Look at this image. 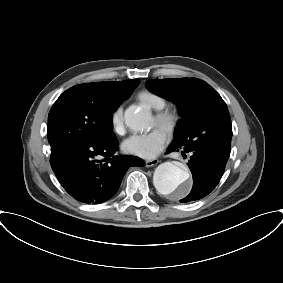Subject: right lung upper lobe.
Wrapping results in <instances>:
<instances>
[{
    "label": "right lung upper lobe",
    "mask_w": 283,
    "mask_h": 283,
    "mask_svg": "<svg viewBox=\"0 0 283 283\" xmlns=\"http://www.w3.org/2000/svg\"><path fill=\"white\" fill-rule=\"evenodd\" d=\"M139 83V80L131 79L120 82H95L76 86L90 96L94 102L106 106L126 100Z\"/></svg>",
    "instance_id": "1"
}]
</instances>
